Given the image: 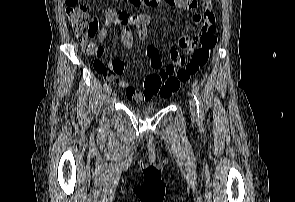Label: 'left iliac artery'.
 Returning <instances> with one entry per match:
<instances>
[{
  "label": "left iliac artery",
  "mask_w": 295,
  "mask_h": 202,
  "mask_svg": "<svg viewBox=\"0 0 295 202\" xmlns=\"http://www.w3.org/2000/svg\"><path fill=\"white\" fill-rule=\"evenodd\" d=\"M192 95L196 101L198 118L200 120H203L204 119V109H203V102H202L201 96H200L198 90H196V89L192 90Z\"/></svg>",
  "instance_id": "1"
}]
</instances>
